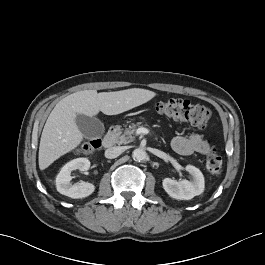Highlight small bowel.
Segmentation results:
<instances>
[{
  "label": "small bowel",
  "instance_id": "obj_1",
  "mask_svg": "<svg viewBox=\"0 0 265 265\" xmlns=\"http://www.w3.org/2000/svg\"><path fill=\"white\" fill-rule=\"evenodd\" d=\"M171 147L180 155H191L194 153L207 155L210 152L208 142L197 134L188 137H174L171 141Z\"/></svg>",
  "mask_w": 265,
  "mask_h": 265
}]
</instances>
